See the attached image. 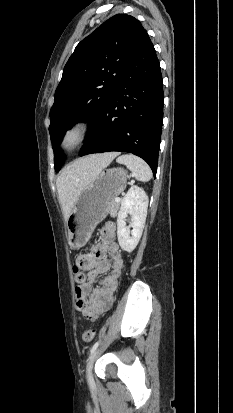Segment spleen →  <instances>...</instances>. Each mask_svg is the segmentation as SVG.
<instances>
[{
  "label": "spleen",
  "mask_w": 233,
  "mask_h": 413,
  "mask_svg": "<svg viewBox=\"0 0 233 413\" xmlns=\"http://www.w3.org/2000/svg\"><path fill=\"white\" fill-rule=\"evenodd\" d=\"M120 164H124L135 178L141 182H147L152 178V171L149 165L141 158L132 154H124L116 160Z\"/></svg>",
  "instance_id": "1"
}]
</instances>
